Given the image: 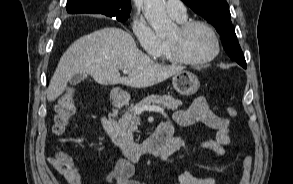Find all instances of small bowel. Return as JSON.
Here are the masks:
<instances>
[{
	"label": "small bowel",
	"instance_id": "c3829d8e",
	"mask_svg": "<svg viewBox=\"0 0 293 184\" xmlns=\"http://www.w3.org/2000/svg\"><path fill=\"white\" fill-rule=\"evenodd\" d=\"M172 119L181 126H190L201 122L216 131L214 140H206L201 146L212 150L216 155L224 153V147L230 143V122L228 119L218 116L208 106L204 97L195 98L186 109L177 110L173 113ZM186 139L183 136H176L172 140L170 148L158 156L165 161L177 149L185 145ZM53 167L60 172L69 184H84L80 168L77 162L67 160L59 163L52 160ZM134 167L130 161L119 159L108 174L110 184H141L132 179ZM212 177H199L190 172H183L173 184H214Z\"/></svg>",
	"mask_w": 293,
	"mask_h": 184
}]
</instances>
